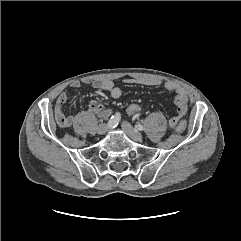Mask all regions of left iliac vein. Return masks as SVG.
Masks as SVG:
<instances>
[{"mask_svg": "<svg viewBox=\"0 0 241 241\" xmlns=\"http://www.w3.org/2000/svg\"><path fill=\"white\" fill-rule=\"evenodd\" d=\"M122 129L129 135V137L137 142H141L143 140L142 134L132 127V125L126 121L122 123Z\"/></svg>", "mask_w": 241, "mask_h": 241, "instance_id": "obj_1", "label": "left iliac vein"}]
</instances>
